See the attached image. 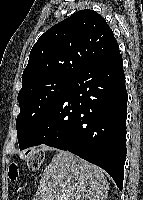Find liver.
<instances>
[{
	"instance_id": "6515ba94",
	"label": "liver",
	"mask_w": 143,
	"mask_h": 200,
	"mask_svg": "<svg viewBox=\"0 0 143 200\" xmlns=\"http://www.w3.org/2000/svg\"><path fill=\"white\" fill-rule=\"evenodd\" d=\"M103 170L68 151H59L44 169L32 200H106Z\"/></svg>"
}]
</instances>
